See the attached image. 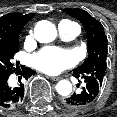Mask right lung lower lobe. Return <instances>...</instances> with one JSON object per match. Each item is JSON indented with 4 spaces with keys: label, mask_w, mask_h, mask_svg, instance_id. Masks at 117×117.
Masks as SVG:
<instances>
[{
    "label": "right lung lower lobe",
    "mask_w": 117,
    "mask_h": 117,
    "mask_svg": "<svg viewBox=\"0 0 117 117\" xmlns=\"http://www.w3.org/2000/svg\"><path fill=\"white\" fill-rule=\"evenodd\" d=\"M11 73L0 74V108L8 110L15 109L22 104L25 92L24 84L14 88L8 85L7 81ZM33 73L35 72L29 68H24L22 72L26 78Z\"/></svg>",
    "instance_id": "98d812e1"
}]
</instances>
